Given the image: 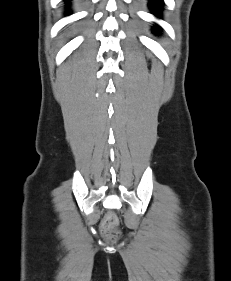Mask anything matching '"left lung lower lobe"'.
<instances>
[{"label":"left lung lower lobe","instance_id":"0a47b994","mask_svg":"<svg viewBox=\"0 0 231 281\" xmlns=\"http://www.w3.org/2000/svg\"><path fill=\"white\" fill-rule=\"evenodd\" d=\"M163 5L162 0H150L149 6L152 9L153 13L159 14ZM158 16V15H157ZM154 33H157V29L154 30Z\"/></svg>","mask_w":231,"mask_h":281}]
</instances>
